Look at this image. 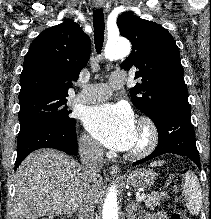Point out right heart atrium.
Instances as JSON below:
<instances>
[{
  "label": "right heart atrium",
  "instance_id": "1",
  "mask_svg": "<svg viewBox=\"0 0 211 219\" xmlns=\"http://www.w3.org/2000/svg\"><path fill=\"white\" fill-rule=\"evenodd\" d=\"M78 144L81 151L87 155L99 156L101 154L102 148L100 144L88 134L80 135Z\"/></svg>",
  "mask_w": 211,
  "mask_h": 219
}]
</instances>
